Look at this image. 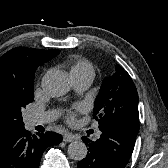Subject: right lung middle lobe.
Instances as JSON below:
<instances>
[{
    "instance_id": "right-lung-middle-lobe-1",
    "label": "right lung middle lobe",
    "mask_w": 168,
    "mask_h": 168,
    "mask_svg": "<svg viewBox=\"0 0 168 168\" xmlns=\"http://www.w3.org/2000/svg\"><path fill=\"white\" fill-rule=\"evenodd\" d=\"M34 83L19 86L13 98L0 105V123L10 129L18 130L24 127L21 110L33 101Z\"/></svg>"
}]
</instances>
